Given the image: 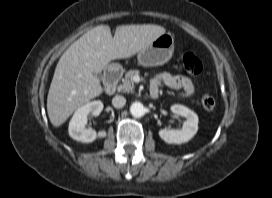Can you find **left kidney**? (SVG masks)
Instances as JSON below:
<instances>
[{"instance_id": "1", "label": "left kidney", "mask_w": 272, "mask_h": 198, "mask_svg": "<svg viewBox=\"0 0 272 198\" xmlns=\"http://www.w3.org/2000/svg\"><path fill=\"white\" fill-rule=\"evenodd\" d=\"M170 109L174 114L185 117L186 120L181 129L159 130L160 138L168 144H182L188 142L198 131L197 114L189 108L179 104L172 105Z\"/></svg>"}]
</instances>
